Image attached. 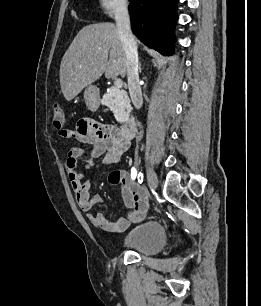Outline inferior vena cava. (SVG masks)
Wrapping results in <instances>:
<instances>
[{
  "label": "inferior vena cava",
  "instance_id": "inferior-vena-cava-1",
  "mask_svg": "<svg viewBox=\"0 0 261 306\" xmlns=\"http://www.w3.org/2000/svg\"><path fill=\"white\" fill-rule=\"evenodd\" d=\"M115 21L127 59V79L130 98L134 107L140 109L143 104V98L139 85V59L136 42L130 27V16L126 2L118 7L115 14Z\"/></svg>",
  "mask_w": 261,
  "mask_h": 306
}]
</instances>
